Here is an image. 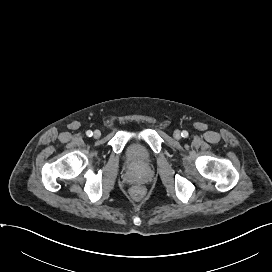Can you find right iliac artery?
Wrapping results in <instances>:
<instances>
[{
  "instance_id": "obj_1",
  "label": "right iliac artery",
  "mask_w": 272,
  "mask_h": 272,
  "mask_svg": "<svg viewBox=\"0 0 272 272\" xmlns=\"http://www.w3.org/2000/svg\"><path fill=\"white\" fill-rule=\"evenodd\" d=\"M86 135H87L88 137H91V136L93 135V133H92L91 130H88V131L86 132Z\"/></svg>"
}]
</instances>
